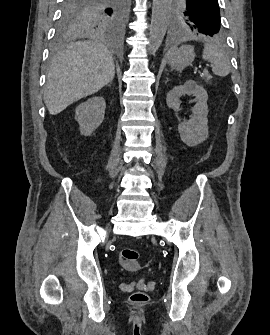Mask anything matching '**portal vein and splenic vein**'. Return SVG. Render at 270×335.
Returning <instances> with one entry per match:
<instances>
[{"label": "portal vein and splenic vein", "mask_w": 270, "mask_h": 335, "mask_svg": "<svg viewBox=\"0 0 270 335\" xmlns=\"http://www.w3.org/2000/svg\"><path fill=\"white\" fill-rule=\"evenodd\" d=\"M205 65L207 66V68H211V66H214V63H211V65H210V64L207 62ZM205 72H207V70H204V74H205Z\"/></svg>", "instance_id": "portal-vein-and-splenic-vein-1"}]
</instances>
